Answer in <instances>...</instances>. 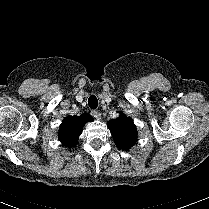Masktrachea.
I'll list each match as a JSON object with an SVG mask.
<instances>
[{
  "label": "trachea",
  "instance_id": "1",
  "mask_svg": "<svg viewBox=\"0 0 209 209\" xmlns=\"http://www.w3.org/2000/svg\"><path fill=\"white\" fill-rule=\"evenodd\" d=\"M88 105L91 109H96L97 108L98 100H97L96 96L92 95L88 98Z\"/></svg>",
  "mask_w": 209,
  "mask_h": 209
}]
</instances>
